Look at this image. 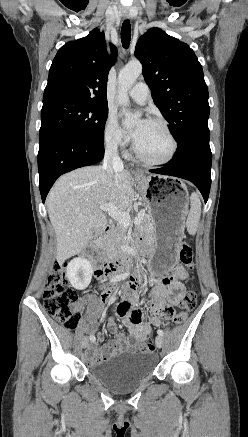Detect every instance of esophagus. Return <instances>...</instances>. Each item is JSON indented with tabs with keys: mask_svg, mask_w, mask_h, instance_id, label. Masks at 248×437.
Here are the masks:
<instances>
[{
	"mask_svg": "<svg viewBox=\"0 0 248 437\" xmlns=\"http://www.w3.org/2000/svg\"><path fill=\"white\" fill-rule=\"evenodd\" d=\"M123 17H124V19H129L130 18V13L128 11H124ZM137 175L139 176L138 173H137Z\"/></svg>",
	"mask_w": 248,
	"mask_h": 437,
	"instance_id": "1",
	"label": "esophagus"
}]
</instances>
